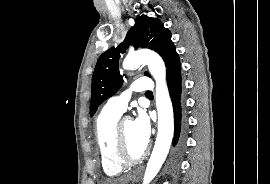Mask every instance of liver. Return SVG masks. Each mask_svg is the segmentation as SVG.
Returning a JSON list of instances; mask_svg holds the SVG:
<instances>
[{"instance_id": "6515ba94", "label": "liver", "mask_w": 270, "mask_h": 184, "mask_svg": "<svg viewBox=\"0 0 270 184\" xmlns=\"http://www.w3.org/2000/svg\"><path fill=\"white\" fill-rule=\"evenodd\" d=\"M129 178L117 179V180H108L104 184H126Z\"/></svg>"}]
</instances>
